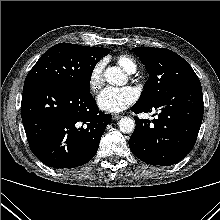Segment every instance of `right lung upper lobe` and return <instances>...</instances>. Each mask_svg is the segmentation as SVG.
I'll return each instance as SVG.
<instances>
[{
	"label": "right lung upper lobe",
	"instance_id": "obj_1",
	"mask_svg": "<svg viewBox=\"0 0 220 220\" xmlns=\"http://www.w3.org/2000/svg\"><path fill=\"white\" fill-rule=\"evenodd\" d=\"M103 49H105V51H109L108 49H106V48H103Z\"/></svg>",
	"mask_w": 220,
	"mask_h": 220
}]
</instances>
